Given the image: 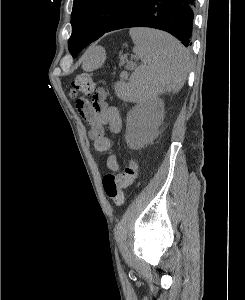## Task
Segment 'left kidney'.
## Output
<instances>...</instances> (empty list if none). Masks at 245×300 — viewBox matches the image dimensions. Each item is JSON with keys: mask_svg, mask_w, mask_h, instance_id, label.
<instances>
[{"mask_svg": "<svg viewBox=\"0 0 245 300\" xmlns=\"http://www.w3.org/2000/svg\"><path fill=\"white\" fill-rule=\"evenodd\" d=\"M163 114L162 101L141 103L133 107L127 115V144L134 149L142 147L155 135Z\"/></svg>", "mask_w": 245, "mask_h": 300, "instance_id": "1", "label": "left kidney"}]
</instances>
